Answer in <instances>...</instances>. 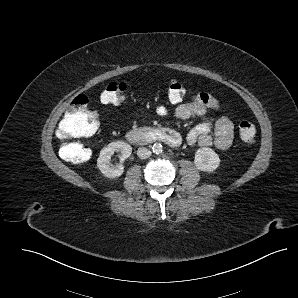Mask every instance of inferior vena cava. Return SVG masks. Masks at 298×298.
<instances>
[{
  "instance_id": "602c4592",
  "label": "inferior vena cava",
  "mask_w": 298,
  "mask_h": 298,
  "mask_svg": "<svg viewBox=\"0 0 298 298\" xmlns=\"http://www.w3.org/2000/svg\"><path fill=\"white\" fill-rule=\"evenodd\" d=\"M151 155V151L148 148L145 147H139L137 149V156L140 159H146Z\"/></svg>"
}]
</instances>
